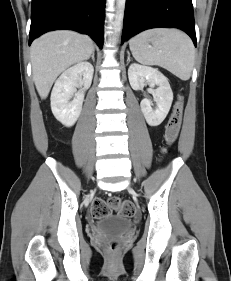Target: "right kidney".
I'll return each instance as SVG.
<instances>
[{
	"label": "right kidney",
	"instance_id": "1",
	"mask_svg": "<svg viewBox=\"0 0 231 281\" xmlns=\"http://www.w3.org/2000/svg\"><path fill=\"white\" fill-rule=\"evenodd\" d=\"M93 73L94 68L90 63L79 62L65 70L55 82L50 98L51 110L63 125L70 127L79 118L85 91L92 83ZM74 93L75 97L70 102Z\"/></svg>",
	"mask_w": 231,
	"mask_h": 281
}]
</instances>
